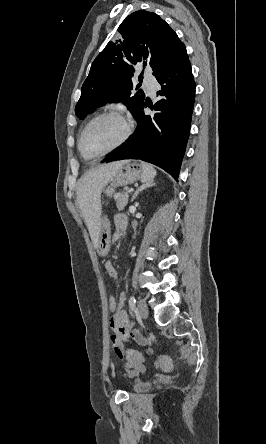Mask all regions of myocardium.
I'll return each mask as SVG.
<instances>
[{"instance_id":"f54148a6","label":"myocardium","mask_w":266,"mask_h":444,"mask_svg":"<svg viewBox=\"0 0 266 444\" xmlns=\"http://www.w3.org/2000/svg\"><path fill=\"white\" fill-rule=\"evenodd\" d=\"M108 116L115 117V118L119 119V120L122 122V124H123V126H124V133H123V135H122L121 138L117 141L116 144H114L111 148L107 149L106 151H104V152H102V153H99V154H96V155H88V154L85 152L84 148H83V137H84V134H85L86 130H87V129L90 127V125H91L92 123H94L96 120H98V119H100V118H103V117H108ZM131 134H132V126H131V123H130V121L127 119V117H126L124 114H122L121 112L116 111V110H106V111L100 112V113L96 114L95 116H93V117H92V118L86 123V125L83 127V129H82L81 132H80L79 138H78V149H79V152H80V153L82 154V156H84V157H89V156H104V155H107V154H109V153H111V152H113V151H115V150L121 148V147H122V146H123L128 140H129Z\"/></svg>"}]
</instances>
